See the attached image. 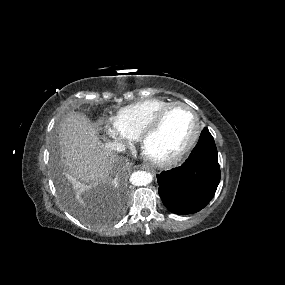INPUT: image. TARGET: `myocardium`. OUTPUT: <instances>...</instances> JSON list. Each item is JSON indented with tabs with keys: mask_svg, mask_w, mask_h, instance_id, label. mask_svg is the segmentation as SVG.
<instances>
[{
	"mask_svg": "<svg viewBox=\"0 0 285 285\" xmlns=\"http://www.w3.org/2000/svg\"><path fill=\"white\" fill-rule=\"evenodd\" d=\"M177 107L186 109L193 116V118L195 120V130H194L192 137L190 138L188 143L184 146V148L181 149L177 154H175L174 156H172L168 159H163V160L155 159V158H152V157L146 155L143 151V153L147 157V159L151 163H153L154 165H156L158 167L166 168V167H171V166L179 163L181 160H183L192 151V149L195 147V145L197 144V142L201 136L202 122H201L200 116L197 113V111L195 109H193L190 105H188L184 102H173L170 105H168L167 107H165L162 111H160L142 129L141 133L139 134V141H140V145H141L142 150H143V144H144L145 140L160 127V125L162 124V122L164 121L166 116L174 108H177Z\"/></svg>",
	"mask_w": 285,
	"mask_h": 285,
	"instance_id": "myocardium-1",
	"label": "myocardium"
}]
</instances>
